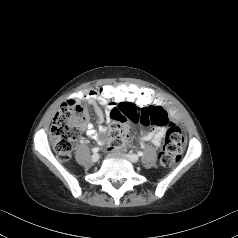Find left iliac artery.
<instances>
[{
  "mask_svg": "<svg viewBox=\"0 0 238 238\" xmlns=\"http://www.w3.org/2000/svg\"><path fill=\"white\" fill-rule=\"evenodd\" d=\"M138 155H139V156H143V152L139 151V152H138Z\"/></svg>",
  "mask_w": 238,
  "mask_h": 238,
  "instance_id": "44dca946",
  "label": "left iliac artery"
}]
</instances>
